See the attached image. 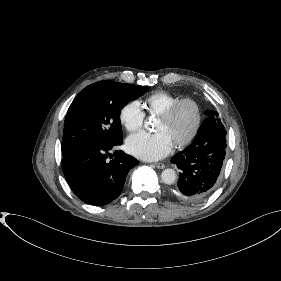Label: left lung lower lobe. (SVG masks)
Returning <instances> with one entry per match:
<instances>
[{
	"label": "left lung lower lobe",
	"mask_w": 281,
	"mask_h": 281,
	"mask_svg": "<svg viewBox=\"0 0 281 281\" xmlns=\"http://www.w3.org/2000/svg\"><path fill=\"white\" fill-rule=\"evenodd\" d=\"M226 148L222 123L209 115L190 146L178 152L171 162L180 169L174 193L184 202L205 200L216 188Z\"/></svg>",
	"instance_id": "left-lung-lower-lobe-1"
}]
</instances>
